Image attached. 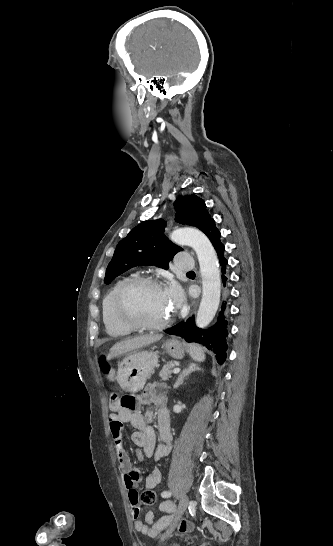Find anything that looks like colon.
I'll use <instances>...</instances> for the list:
<instances>
[{
  "mask_svg": "<svg viewBox=\"0 0 333 546\" xmlns=\"http://www.w3.org/2000/svg\"><path fill=\"white\" fill-rule=\"evenodd\" d=\"M111 404L114 406L121 405L122 407L134 408L136 402L133 396H125L120 401L114 396L111 399ZM138 456H142L141 452H138ZM140 500L143 505H153L157 500L156 493L152 489H146L142 492Z\"/></svg>",
  "mask_w": 333,
  "mask_h": 546,
  "instance_id": "1",
  "label": "colon"
}]
</instances>
